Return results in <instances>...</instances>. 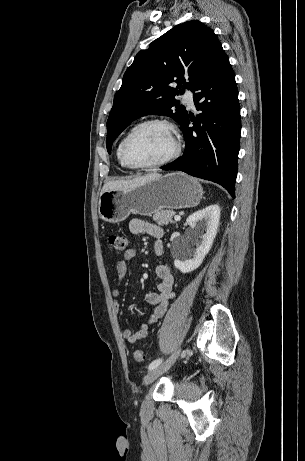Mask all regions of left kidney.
<instances>
[{
    "label": "left kidney",
    "mask_w": 305,
    "mask_h": 461,
    "mask_svg": "<svg viewBox=\"0 0 305 461\" xmlns=\"http://www.w3.org/2000/svg\"><path fill=\"white\" fill-rule=\"evenodd\" d=\"M219 220L220 207L217 204L209 205L206 208L193 213L187 218L186 224L189 225L191 229H195L202 240L194 251H190V246L188 245H183L181 247L182 250L188 252L186 257L189 256V258L184 261L175 259L174 266L182 273H189L197 269L202 264L205 256L210 251L214 238L217 234Z\"/></svg>",
    "instance_id": "5707ae66"
}]
</instances>
